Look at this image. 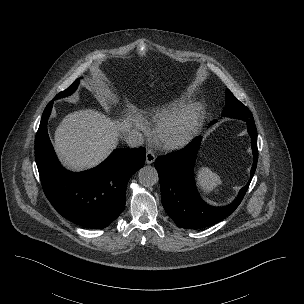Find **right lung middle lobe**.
I'll return each instance as SVG.
<instances>
[{"label":"right lung middle lobe","instance_id":"dd1d6c3e","mask_svg":"<svg viewBox=\"0 0 304 304\" xmlns=\"http://www.w3.org/2000/svg\"><path fill=\"white\" fill-rule=\"evenodd\" d=\"M79 84V79H77L68 89H66L65 91L60 92L55 98V99H59L62 97H66L69 96L70 94H72L76 88L78 87Z\"/></svg>","mask_w":304,"mask_h":304}]
</instances>
